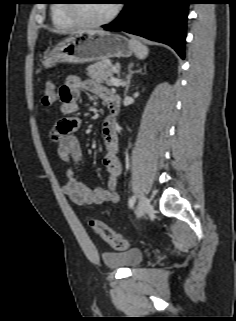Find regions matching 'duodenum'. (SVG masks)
I'll return each instance as SVG.
<instances>
[{"mask_svg":"<svg viewBox=\"0 0 236 321\" xmlns=\"http://www.w3.org/2000/svg\"><path fill=\"white\" fill-rule=\"evenodd\" d=\"M108 108L113 116L119 114L121 109L120 98L117 95H111L108 100Z\"/></svg>","mask_w":236,"mask_h":321,"instance_id":"410a0bca","label":"duodenum"}]
</instances>
